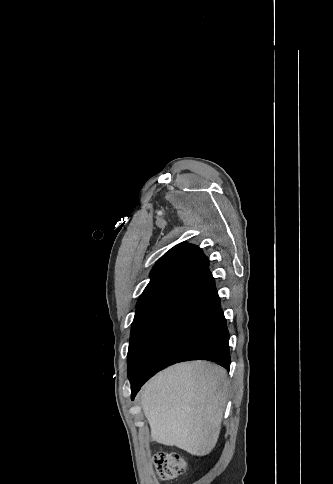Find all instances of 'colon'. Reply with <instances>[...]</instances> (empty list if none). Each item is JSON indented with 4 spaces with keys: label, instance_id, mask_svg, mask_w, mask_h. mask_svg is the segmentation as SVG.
I'll return each mask as SVG.
<instances>
[{
    "label": "colon",
    "instance_id": "colon-1",
    "mask_svg": "<svg viewBox=\"0 0 333 484\" xmlns=\"http://www.w3.org/2000/svg\"><path fill=\"white\" fill-rule=\"evenodd\" d=\"M153 461L157 474L162 480L175 479L183 475L187 468L184 459L172 452H158Z\"/></svg>",
    "mask_w": 333,
    "mask_h": 484
}]
</instances>
